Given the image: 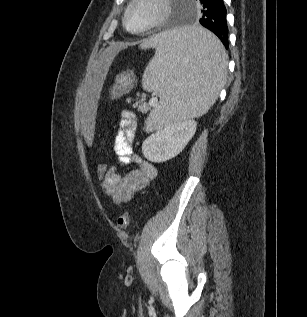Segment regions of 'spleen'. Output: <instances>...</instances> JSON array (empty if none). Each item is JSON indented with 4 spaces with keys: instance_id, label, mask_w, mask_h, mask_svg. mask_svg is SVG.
Listing matches in <instances>:
<instances>
[{
    "instance_id": "3e777b00",
    "label": "spleen",
    "mask_w": 307,
    "mask_h": 317,
    "mask_svg": "<svg viewBox=\"0 0 307 317\" xmlns=\"http://www.w3.org/2000/svg\"><path fill=\"white\" fill-rule=\"evenodd\" d=\"M142 48H155L142 84L158 91L160 102L146 130L204 115L215 103L227 75V54L206 26H175L149 33Z\"/></svg>"
}]
</instances>
